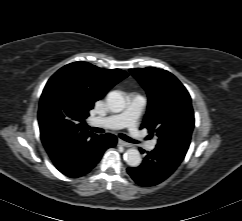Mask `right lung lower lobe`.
<instances>
[{"mask_svg": "<svg viewBox=\"0 0 242 221\" xmlns=\"http://www.w3.org/2000/svg\"><path fill=\"white\" fill-rule=\"evenodd\" d=\"M112 134L96 135L78 139L66 153L52 158L55 167L68 177L76 178L87 174L100 161L106 149L116 145Z\"/></svg>", "mask_w": 242, "mask_h": 221, "instance_id": "right-lung-lower-lobe-1", "label": "right lung lower lobe"}]
</instances>
